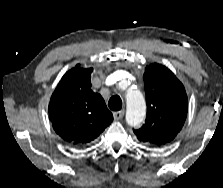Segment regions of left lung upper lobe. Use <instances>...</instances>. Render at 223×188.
<instances>
[{"label":"left lung upper lobe","mask_w":223,"mask_h":188,"mask_svg":"<svg viewBox=\"0 0 223 188\" xmlns=\"http://www.w3.org/2000/svg\"><path fill=\"white\" fill-rule=\"evenodd\" d=\"M143 78L147 118L134 133L145 145L160 147L172 141L183 127L188 99L183 84L161 64L147 66Z\"/></svg>","instance_id":"5c2ea615"}]
</instances>
